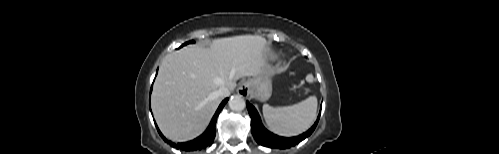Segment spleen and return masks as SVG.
Segmentation results:
<instances>
[{"label":"spleen","instance_id":"1","mask_svg":"<svg viewBox=\"0 0 499 154\" xmlns=\"http://www.w3.org/2000/svg\"><path fill=\"white\" fill-rule=\"evenodd\" d=\"M263 116L268 127L282 136H295L306 131L317 115V98L310 96L291 106L263 105Z\"/></svg>","mask_w":499,"mask_h":154}]
</instances>
